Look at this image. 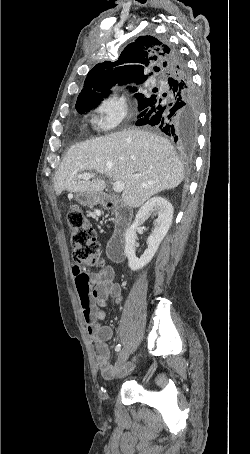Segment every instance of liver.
Instances as JSON below:
<instances>
[{
    "mask_svg": "<svg viewBox=\"0 0 250 454\" xmlns=\"http://www.w3.org/2000/svg\"><path fill=\"white\" fill-rule=\"evenodd\" d=\"M91 170L123 182L122 201L133 208L161 191L177 187L185 173L167 139L147 131H121L72 146L55 174L56 194L64 190L70 194L102 192L106 187L103 179L77 177Z\"/></svg>",
    "mask_w": 250,
    "mask_h": 454,
    "instance_id": "1",
    "label": "liver"
}]
</instances>
